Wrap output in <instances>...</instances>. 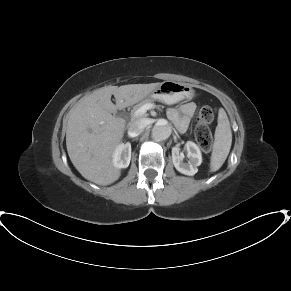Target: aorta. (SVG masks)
Instances as JSON below:
<instances>
[{"instance_id": "1", "label": "aorta", "mask_w": 291, "mask_h": 291, "mask_svg": "<svg viewBox=\"0 0 291 291\" xmlns=\"http://www.w3.org/2000/svg\"><path fill=\"white\" fill-rule=\"evenodd\" d=\"M172 133V127L167 122H157L152 129V138L155 141H163L169 138Z\"/></svg>"}]
</instances>
